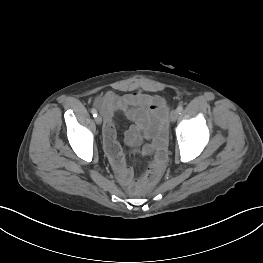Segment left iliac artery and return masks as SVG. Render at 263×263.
<instances>
[{
	"instance_id": "left-iliac-artery-1",
	"label": "left iliac artery",
	"mask_w": 263,
	"mask_h": 263,
	"mask_svg": "<svg viewBox=\"0 0 263 263\" xmlns=\"http://www.w3.org/2000/svg\"><path fill=\"white\" fill-rule=\"evenodd\" d=\"M177 110H178V112H179V114L183 111V106L182 105H180V106H178L177 107Z\"/></svg>"
}]
</instances>
